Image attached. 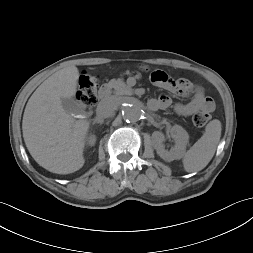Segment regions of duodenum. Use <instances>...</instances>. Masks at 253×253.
Wrapping results in <instances>:
<instances>
[{"label": "duodenum", "mask_w": 253, "mask_h": 253, "mask_svg": "<svg viewBox=\"0 0 253 253\" xmlns=\"http://www.w3.org/2000/svg\"><path fill=\"white\" fill-rule=\"evenodd\" d=\"M107 92H108V87L107 86H103L100 90H99V97L101 99H104L107 96Z\"/></svg>", "instance_id": "410a0bca"}]
</instances>
